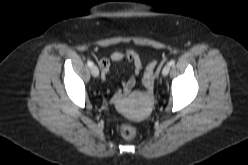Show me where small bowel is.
<instances>
[{
    "mask_svg": "<svg viewBox=\"0 0 248 165\" xmlns=\"http://www.w3.org/2000/svg\"><path fill=\"white\" fill-rule=\"evenodd\" d=\"M124 59L128 60L132 64V73L123 81L121 88L114 93V102H118L123 96L128 95L136 86L137 78L143 68L141 58L136 51L127 49L124 52L115 51L111 53L109 57L101 58L99 60L102 79L106 81L110 73L111 62H119Z\"/></svg>",
    "mask_w": 248,
    "mask_h": 165,
    "instance_id": "1",
    "label": "small bowel"
}]
</instances>
